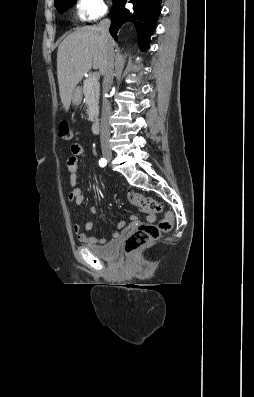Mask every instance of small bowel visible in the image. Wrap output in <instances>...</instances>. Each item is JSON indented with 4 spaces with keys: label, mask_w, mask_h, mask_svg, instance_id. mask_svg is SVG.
Returning <instances> with one entry per match:
<instances>
[{
    "label": "small bowel",
    "mask_w": 254,
    "mask_h": 397,
    "mask_svg": "<svg viewBox=\"0 0 254 397\" xmlns=\"http://www.w3.org/2000/svg\"><path fill=\"white\" fill-rule=\"evenodd\" d=\"M71 156L67 160V168L69 171V184L71 186V191L68 195V199L75 203L77 206L81 205L84 201V194L80 187L77 186L78 183V163L79 157L83 156L85 153L84 148L79 144H72L71 145ZM97 208L95 206L90 207L89 212L91 215L97 214ZM131 224L126 227L123 221L119 222L117 225V229L113 232V237H119L121 232H127L128 230L134 228L138 225V219L136 216H131ZM148 220L153 222L155 221V216L150 215L148 216ZM94 223L92 219L86 221L84 225L85 232H82L81 226L78 223H74L72 225L73 232L77 235L78 240L86 245H95L105 243L106 240L103 238H97L89 236L87 233L93 229Z\"/></svg>",
    "instance_id": "c3829d8e"
}]
</instances>
